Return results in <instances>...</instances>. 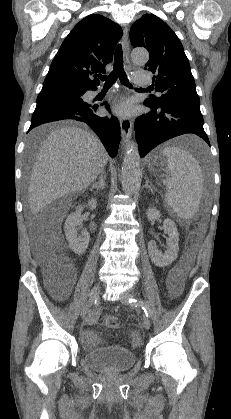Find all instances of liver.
Listing matches in <instances>:
<instances>
[{"instance_id":"obj_1","label":"liver","mask_w":231,"mask_h":419,"mask_svg":"<svg viewBox=\"0 0 231 419\" xmlns=\"http://www.w3.org/2000/svg\"><path fill=\"white\" fill-rule=\"evenodd\" d=\"M53 125L30 133L37 139ZM109 155L94 134L74 126L55 128L41 145L28 187L29 206L36 214L54 200L87 189L103 171Z\"/></svg>"}]
</instances>
